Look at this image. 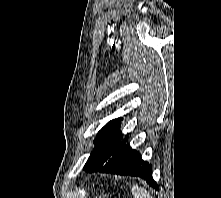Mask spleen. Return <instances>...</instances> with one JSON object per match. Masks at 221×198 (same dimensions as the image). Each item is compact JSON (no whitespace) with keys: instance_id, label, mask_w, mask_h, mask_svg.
Masks as SVG:
<instances>
[{"instance_id":"obj_1","label":"spleen","mask_w":221,"mask_h":198,"mask_svg":"<svg viewBox=\"0 0 221 198\" xmlns=\"http://www.w3.org/2000/svg\"><path fill=\"white\" fill-rule=\"evenodd\" d=\"M131 191L134 198H152L144 188L137 185L133 186Z\"/></svg>"}]
</instances>
